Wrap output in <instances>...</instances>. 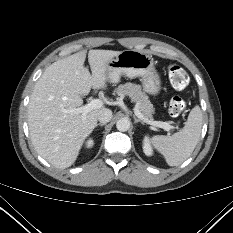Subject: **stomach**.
I'll use <instances>...</instances> for the list:
<instances>
[{
  "instance_id": "0dacf381",
  "label": "stomach",
  "mask_w": 233,
  "mask_h": 233,
  "mask_svg": "<svg viewBox=\"0 0 233 233\" xmlns=\"http://www.w3.org/2000/svg\"><path fill=\"white\" fill-rule=\"evenodd\" d=\"M122 75L141 77L143 88L149 94H157L161 88L160 76L155 70L152 56L136 50H124L107 63V77L118 83Z\"/></svg>"
}]
</instances>
